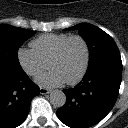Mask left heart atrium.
<instances>
[{
	"label": "left heart atrium",
	"instance_id": "39dd6f15",
	"mask_svg": "<svg viewBox=\"0 0 128 128\" xmlns=\"http://www.w3.org/2000/svg\"><path fill=\"white\" fill-rule=\"evenodd\" d=\"M36 82L43 87L53 88L62 85L65 81L55 70H50L38 76Z\"/></svg>",
	"mask_w": 128,
	"mask_h": 128
}]
</instances>
